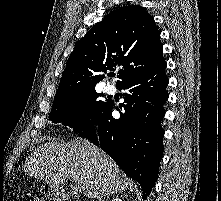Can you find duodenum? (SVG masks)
I'll return each instance as SVG.
<instances>
[{
    "label": "duodenum",
    "mask_w": 221,
    "mask_h": 201,
    "mask_svg": "<svg viewBox=\"0 0 221 201\" xmlns=\"http://www.w3.org/2000/svg\"><path fill=\"white\" fill-rule=\"evenodd\" d=\"M63 200H64V201H72V200L69 199V198H64Z\"/></svg>",
    "instance_id": "obj_1"
}]
</instances>
